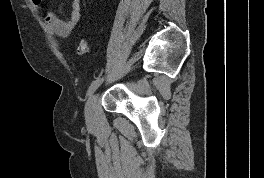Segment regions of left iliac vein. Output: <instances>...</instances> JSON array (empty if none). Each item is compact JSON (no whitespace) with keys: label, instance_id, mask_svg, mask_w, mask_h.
I'll return each instance as SVG.
<instances>
[{"label":"left iliac vein","instance_id":"obj_1","mask_svg":"<svg viewBox=\"0 0 264 178\" xmlns=\"http://www.w3.org/2000/svg\"><path fill=\"white\" fill-rule=\"evenodd\" d=\"M98 94L92 95L86 104L85 108V118L87 123L91 124L96 118V105H97Z\"/></svg>","mask_w":264,"mask_h":178}]
</instances>
